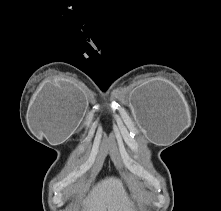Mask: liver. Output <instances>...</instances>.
<instances>
[{
  "label": "liver",
  "mask_w": 221,
  "mask_h": 211,
  "mask_svg": "<svg viewBox=\"0 0 221 211\" xmlns=\"http://www.w3.org/2000/svg\"><path fill=\"white\" fill-rule=\"evenodd\" d=\"M83 211H134L122 182L114 177L100 181L83 201Z\"/></svg>",
  "instance_id": "1"
}]
</instances>
